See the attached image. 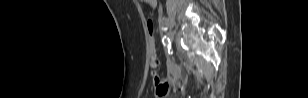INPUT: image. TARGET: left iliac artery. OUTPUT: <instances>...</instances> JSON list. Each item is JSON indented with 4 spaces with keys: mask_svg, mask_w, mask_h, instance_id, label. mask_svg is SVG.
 <instances>
[{
    "mask_svg": "<svg viewBox=\"0 0 308 98\" xmlns=\"http://www.w3.org/2000/svg\"><path fill=\"white\" fill-rule=\"evenodd\" d=\"M159 24L162 29H167L169 25V19L166 17H163L159 20Z\"/></svg>",
    "mask_w": 308,
    "mask_h": 98,
    "instance_id": "1",
    "label": "left iliac artery"
}]
</instances>
